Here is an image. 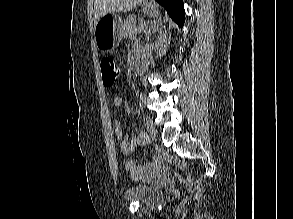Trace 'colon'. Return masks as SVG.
<instances>
[{"label":"colon","mask_w":293,"mask_h":219,"mask_svg":"<svg viewBox=\"0 0 293 219\" xmlns=\"http://www.w3.org/2000/svg\"><path fill=\"white\" fill-rule=\"evenodd\" d=\"M101 72L102 79L105 86L110 87L115 83L116 78L119 75V65L117 61L110 56H106L101 60ZM149 142V138L146 136L142 142V145H146ZM126 168L129 171L135 170V162L129 160L126 162Z\"/></svg>","instance_id":"5ec220e1"}]
</instances>
